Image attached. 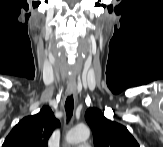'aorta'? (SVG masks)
I'll return each instance as SVG.
<instances>
[{"label":"aorta","instance_id":"1","mask_svg":"<svg viewBox=\"0 0 163 147\" xmlns=\"http://www.w3.org/2000/svg\"><path fill=\"white\" fill-rule=\"evenodd\" d=\"M90 137V130L86 125H77L67 134L66 140L70 144L84 142Z\"/></svg>","mask_w":163,"mask_h":147}]
</instances>
